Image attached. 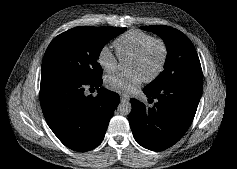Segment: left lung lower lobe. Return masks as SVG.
<instances>
[{"label":"left lung lower lobe","mask_w":237,"mask_h":169,"mask_svg":"<svg viewBox=\"0 0 237 169\" xmlns=\"http://www.w3.org/2000/svg\"><path fill=\"white\" fill-rule=\"evenodd\" d=\"M202 83L183 81L153 90L144 88L149 101L158 99L152 108L131 99L129 122L135 140L152 151L167 149L180 140L195 116Z\"/></svg>","instance_id":"1"}]
</instances>
